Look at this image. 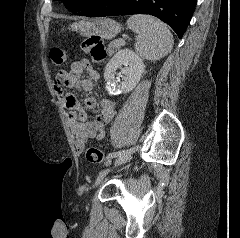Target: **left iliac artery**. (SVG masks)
Instances as JSON below:
<instances>
[{
	"label": "left iliac artery",
	"instance_id": "44dca946",
	"mask_svg": "<svg viewBox=\"0 0 240 238\" xmlns=\"http://www.w3.org/2000/svg\"><path fill=\"white\" fill-rule=\"evenodd\" d=\"M135 136L137 135L136 133L134 134ZM132 138V142L130 143L131 147H128L124 152L118 151V152H113L108 155L109 158H116V157H121L123 154L128 155L134 147L137 146V138L136 137Z\"/></svg>",
	"mask_w": 240,
	"mask_h": 238
}]
</instances>
